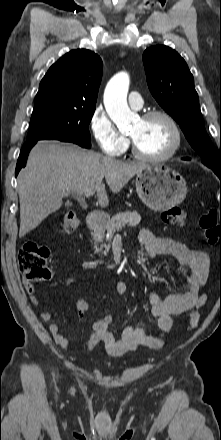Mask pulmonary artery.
Wrapping results in <instances>:
<instances>
[{"mask_svg":"<svg viewBox=\"0 0 221 440\" xmlns=\"http://www.w3.org/2000/svg\"><path fill=\"white\" fill-rule=\"evenodd\" d=\"M128 103L132 108L140 109L143 105V98L138 92L132 91L128 96Z\"/></svg>","mask_w":221,"mask_h":440,"instance_id":"e3ab8cb5","label":"pulmonary artery"}]
</instances>
